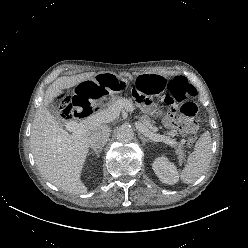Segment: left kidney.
Segmentation results:
<instances>
[{
    "label": "left kidney",
    "instance_id": "left-kidney-1",
    "mask_svg": "<svg viewBox=\"0 0 248 248\" xmlns=\"http://www.w3.org/2000/svg\"><path fill=\"white\" fill-rule=\"evenodd\" d=\"M152 168L161 182L172 185L178 182L179 175L174 164L170 163L166 158H157Z\"/></svg>",
    "mask_w": 248,
    "mask_h": 248
}]
</instances>
